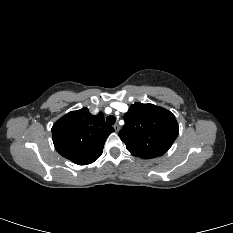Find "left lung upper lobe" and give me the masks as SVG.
Returning <instances> with one entry per match:
<instances>
[{"label": "left lung upper lobe", "mask_w": 233, "mask_h": 233, "mask_svg": "<svg viewBox=\"0 0 233 233\" xmlns=\"http://www.w3.org/2000/svg\"><path fill=\"white\" fill-rule=\"evenodd\" d=\"M124 121L119 137L132 155L144 159L166 153L179 133L175 116L153 104L131 105Z\"/></svg>", "instance_id": "1"}]
</instances>
